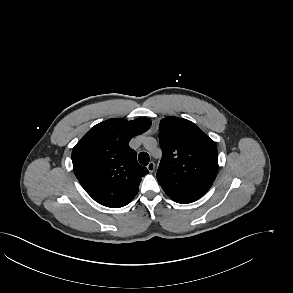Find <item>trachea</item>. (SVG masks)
<instances>
[{"instance_id": "1", "label": "trachea", "mask_w": 293, "mask_h": 293, "mask_svg": "<svg viewBox=\"0 0 293 293\" xmlns=\"http://www.w3.org/2000/svg\"><path fill=\"white\" fill-rule=\"evenodd\" d=\"M138 160L142 165H147L149 163V155L146 152H141L138 156Z\"/></svg>"}]
</instances>
